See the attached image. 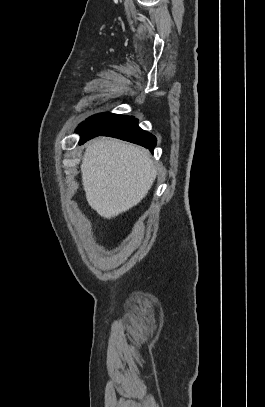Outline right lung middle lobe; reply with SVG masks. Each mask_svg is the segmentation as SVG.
I'll return each instance as SVG.
<instances>
[{
    "label": "right lung middle lobe",
    "mask_w": 265,
    "mask_h": 407,
    "mask_svg": "<svg viewBox=\"0 0 265 407\" xmlns=\"http://www.w3.org/2000/svg\"><path fill=\"white\" fill-rule=\"evenodd\" d=\"M125 118L126 116L111 113L97 114L82 122L78 127L77 132L81 134V137L98 135Z\"/></svg>",
    "instance_id": "right-lung-middle-lobe-1"
}]
</instances>
